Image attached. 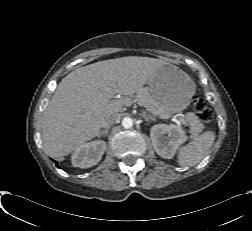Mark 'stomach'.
I'll list each match as a JSON object with an SVG mask.
<instances>
[{
    "mask_svg": "<svg viewBox=\"0 0 252 231\" xmlns=\"http://www.w3.org/2000/svg\"><path fill=\"white\" fill-rule=\"evenodd\" d=\"M148 90L166 114L182 113L191 103L196 85L182 70L166 63L148 82Z\"/></svg>",
    "mask_w": 252,
    "mask_h": 231,
    "instance_id": "stomach-1",
    "label": "stomach"
}]
</instances>
